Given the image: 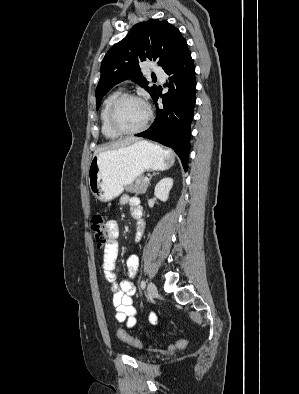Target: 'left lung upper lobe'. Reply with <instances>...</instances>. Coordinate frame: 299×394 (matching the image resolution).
Segmentation results:
<instances>
[{
    "instance_id": "1",
    "label": "left lung upper lobe",
    "mask_w": 299,
    "mask_h": 394,
    "mask_svg": "<svg viewBox=\"0 0 299 394\" xmlns=\"http://www.w3.org/2000/svg\"><path fill=\"white\" fill-rule=\"evenodd\" d=\"M187 45L178 28L167 21L150 19L136 25L120 42L105 55L101 63V77L96 88V109H99L103 96L116 84L132 79L153 98L157 87H147L142 76L140 63L146 60L157 61L163 69L171 65Z\"/></svg>"
}]
</instances>
